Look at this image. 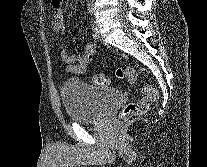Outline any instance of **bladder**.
<instances>
[{
    "label": "bladder",
    "instance_id": "31cf9c89",
    "mask_svg": "<svg viewBox=\"0 0 207 167\" xmlns=\"http://www.w3.org/2000/svg\"><path fill=\"white\" fill-rule=\"evenodd\" d=\"M118 97L117 90L91 85L79 79H68L61 89L67 116L78 123L100 120Z\"/></svg>",
    "mask_w": 207,
    "mask_h": 167
}]
</instances>
